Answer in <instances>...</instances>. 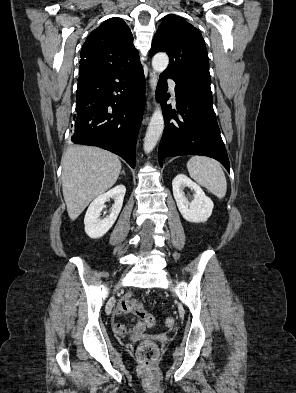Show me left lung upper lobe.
<instances>
[{
    "label": "left lung upper lobe",
    "instance_id": "obj_1",
    "mask_svg": "<svg viewBox=\"0 0 296 393\" xmlns=\"http://www.w3.org/2000/svg\"><path fill=\"white\" fill-rule=\"evenodd\" d=\"M167 52L169 66L163 72L177 85L210 87L209 60L200 32L179 16L163 18L152 42L151 55Z\"/></svg>",
    "mask_w": 296,
    "mask_h": 393
}]
</instances>
